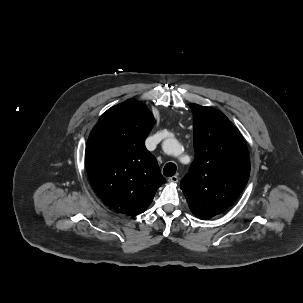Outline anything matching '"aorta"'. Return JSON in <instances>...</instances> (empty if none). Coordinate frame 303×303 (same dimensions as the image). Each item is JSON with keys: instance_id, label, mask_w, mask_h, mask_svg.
<instances>
[{"instance_id": "1", "label": "aorta", "mask_w": 303, "mask_h": 303, "mask_svg": "<svg viewBox=\"0 0 303 303\" xmlns=\"http://www.w3.org/2000/svg\"><path fill=\"white\" fill-rule=\"evenodd\" d=\"M178 142L176 139H167L163 142V150L164 152H169L171 151L172 149H176L178 148Z\"/></svg>"}]
</instances>
